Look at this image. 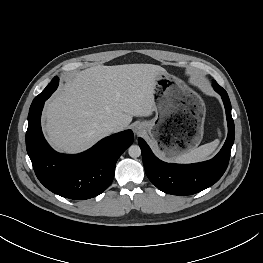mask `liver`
<instances>
[{"mask_svg":"<svg viewBox=\"0 0 263 263\" xmlns=\"http://www.w3.org/2000/svg\"><path fill=\"white\" fill-rule=\"evenodd\" d=\"M165 69L153 64L95 66L76 73L50 100L44 116L48 141L59 151H83L108 136L105 124L124 130L134 116L155 110V77Z\"/></svg>","mask_w":263,"mask_h":263,"instance_id":"liver-1","label":"liver"}]
</instances>
